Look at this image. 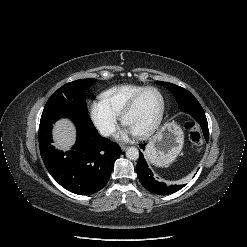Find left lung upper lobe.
Masks as SVG:
<instances>
[{"instance_id": "1", "label": "left lung upper lobe", "mask_w": 247, "mask_h": 247, "mask_svg": "<svg viewBox=\"0 0 247 247\" xmlns=\"http://www.w3.org/2000/svg\"><path fill=\"white\" fill-rule=\"evenodd\" d=\"M156 83L167 88L175 96L180 109L197 122L206 118L202 106L188 90L168 82L157 81Z\"/></svg>"}]
</instances>
